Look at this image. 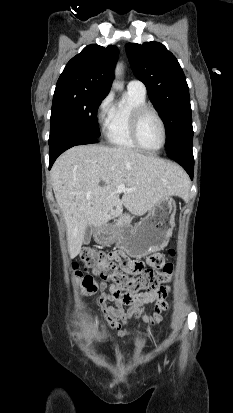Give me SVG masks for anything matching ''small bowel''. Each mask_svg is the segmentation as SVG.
Wrapping results in <instances>:
<instances>
[{
    "instance_id": "c3829d8e",
    "label": "small bowel",
    "mask_w": 233,
    "mask_h": 413,
    "mask_svg": "<svg viewBox=\"0 0 233 413\" xmlns=\"http://www.w3.org/2000/svg\"><path fill=\"white\" fill-rule=\"evenodd\" d=\"M113 260L119 267L121 273L126 276H137L140 270L145 268L143 261H136L134 255H126L122 247H115L111 253ZM164 261L160 254L151 253L148 256V264L157 266ZM105 284L102 283L100 288L103 290ZM168 287H161L152 292L126 293L120 291L114 284L109 286V293H101L96 299V305L103 312L107 323L117 331L118 335L126 340L129 336V331L125 329L133 321L142 319L146 323L156 324L161 321V311L167 306L165 298L168 294ZM113 302L114 305L107 306L106 302ZM156 303V310L152 314L144 312V305L148 303ZM123 306H130L125 311Z\"/></svg>"
}]
</instances>
